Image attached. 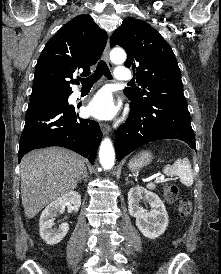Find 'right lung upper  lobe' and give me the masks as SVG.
I'll return each instance as SVG.
<instances>
[{
  "label": "right lung upper lobe",
  "instance_id": "obj_1",
  "mask_svg": "<svg viewBox=\"0 0 221 274\" xmlns=\"http://www.w3.org/2000/svg\"><path fill=\"white\" fill-rule=\"evenodd\" d=\"M107 34L88 15H79L62 26L45 45L35 68L30 100L71 94L70 84L77 71L90 74L89 68L100 58Z\"/></svg>",
  "mask_w": 221,
  "mask_h": 274
}]
</instances>
